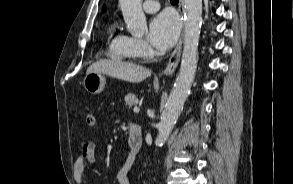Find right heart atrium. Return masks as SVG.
Listing matches in <instances>:
<instances>
[{"label":"right heart atrium","mask_w":293,"mask_h":184,"mask_svg":"<svg viewBox=\"0 0 293 184\" xmlns=\"http://www.w3.org/2000/svg\"><path fill=\"white\" fill-rule=\"evenodd\" d=\"M131 47L137 57H146L150 53V47L147 42L140 38L129 37Z\"/></svg>","instance_id":"1"}]
</instances>
